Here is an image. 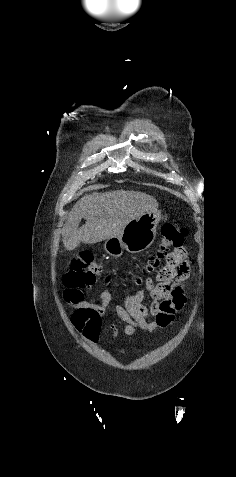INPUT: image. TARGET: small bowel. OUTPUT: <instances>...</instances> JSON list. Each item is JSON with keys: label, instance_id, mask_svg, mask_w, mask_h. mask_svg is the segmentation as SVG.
I'll return each mask as SVG.
<instances>
[{"label": "small bowel", "instance_id": "c3829d8e", "mask_svg": "<svg viewBox=\"0 0 236 477\" xmlns=\"http://www.w3.org/2000/svg\"><path fill=\"white\" fill-rule=\"evenodd\" d=\"M181 270L184 274L171 282L172 289L169 292H166L153 279L145 280V289L151 297V302L148 305L144 303L143 290L124 294L122 304L114 306L116 323L110 326L111 335L115 332L117 324L123 327L124 333L128 336L133 335L136 329L146 332L168 329L172 325L175 315L183 309L186 303L184 290L180 286L189 272L186 257ZM64 298L74 307L70 318L73 328L89 341L98 342L102 330V317L112 301L109 289L103 288L99 303L73 301L67 291L64 292Z\"/></svg>", "mask_w": 236, "mask_h": 477}]
</instances>
